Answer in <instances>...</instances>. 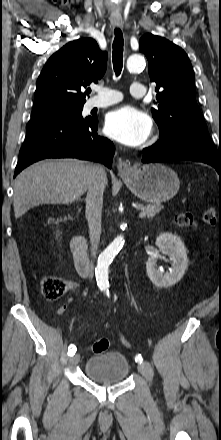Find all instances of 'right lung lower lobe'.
<instances>
[{
    "mask_svg": "<svg viewBox=\"0 0 221 440\" xmlns=\"http://www.w3.org/2000/svg\"><path fill=\"white\" fill-rule=\"evenodd\" d=\"M97 124V117L78 119L55 115L31 119L14 177L45 158L94 160L111 168L115 148L110 140L97 135Z\"/></svg>",
    "mask_w": 221,
    "mask_h": 440,
    "instance_id": "98d812e1",
    "label": "right lung lower lobe"
}]
</instances>
